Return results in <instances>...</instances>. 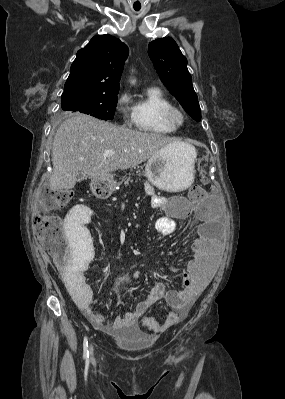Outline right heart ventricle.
<instances>
[{
	"instance_id": "1",
	"label": "right heart ventricle",
	"mask_w": 285,
	"mask_h": 399,
	"mask_svg": "<svg viewBox=\"0 0 285 399\" xmlns=\"http://www.w3.org/2000/svg\"><path fill=\"white\" fill-rule=\"evenodd\" d=\"M171 105V101L161 89L148 88L145 95L133 105L136 129L160 135L173 133L176 128L169 126L163 119L164 110Z\"/></svg>"
}]
</instances>
